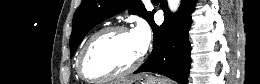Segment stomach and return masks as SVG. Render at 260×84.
Segmentation results:
<instances>
[{
    "label": "stomach",
    "mask_w": 260,
    "mask_h": 84,
    "mask_svg": "<svg viewBox=\"0 0 260 84\" xmlns=\"http://www.w3.org/2000/svg\"><path fill=\"white\" fill-rule=\"evenodd\" d=\"M135 84H170L169 81L165 78L148 76L144 79H140Z\"/></svg>",
    "instance_id": "stomach-1"
}]
</instances>
